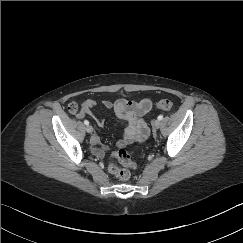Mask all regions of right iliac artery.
<instances>
[{
  "instance_id": "right-iliac-artery-1",
  "label": "right iliac artery",
  "mask_w": 243,
  "mask_h": 243,
  "mask_svg": "<svg viewBox=\"0 0 243 243\" xmlns=\"http://www.w3.org/2000/svg\"><path fill=\"white\" fill-rule=\"evenodd\" d=\"M84 124H85V125H89V121H88V120H85V121H84Z\"/></svg>"
}]
</instances>
